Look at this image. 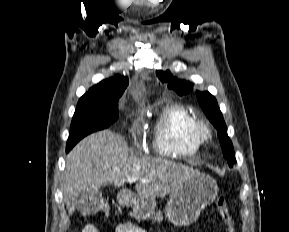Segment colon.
<instances>
[{"label":"colon","mask_w":289,"mask_h":232,"mask_svg":"<svg viewBox=\"0 0 289 232\" xmlns=\"http://www.w3.org/2000/svg\"><path fill=\"white\" fill-rule=\"evenodd\" d=\"M215 206L220 218L226 226L227 232H235V224L227 206V199L224 195H218L215 200ZM103 215L109 214V205L104 202L100 208Z\"/></svg>","instance_id":"5ec220e1"}]
</instances>
